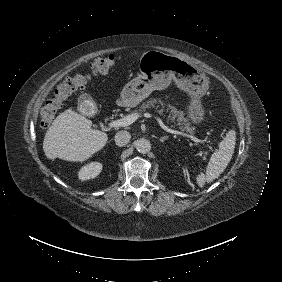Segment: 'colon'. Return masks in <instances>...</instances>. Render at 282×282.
Masks as SVG:
<instances>
[{
  "mask_svg": "<svg viewBox=\"0 0 282 282\" xmlns=\"http://www.w3.org/2000/svg\"><path fill=\"white\" fill-rule=\"evenodd\" d=\"M116 64L114 55H103L96 58L92 64L91 72L94 75L109 72ZM89 74H77L61 83L51 100L42 109L39 117L41 127H49L62 107L63 102L74 92L80 89L89 79Z\"/></svg>",
  "mask_w": 282,
  "mask_h": 282,
  "instance_id": "colon-1",
  "label": "colon"
}]
</instances>
